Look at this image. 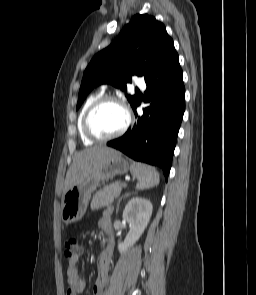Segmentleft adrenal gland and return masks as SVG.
Segmentation results:
<instances>
[{"label":"left adrenal gland","mask_w":256,"mask_h":295,"mask_svg":"<svg viewBox=\"0 0 256 295\" xmlns=\"http://www.w3.org/2000/svg\"><path fill=\"white\" fill-rule=\"evenodd\" d=\"M132 193H128L126 192L123 196H121L118 200V203H117V206H116V213H118V210H119V205H120V202L122 201V199L130 196Z\"/></svg>","instance_id":"obj_1"}]
</instances>
